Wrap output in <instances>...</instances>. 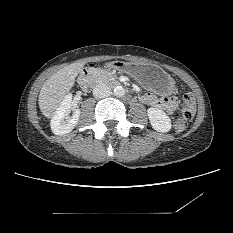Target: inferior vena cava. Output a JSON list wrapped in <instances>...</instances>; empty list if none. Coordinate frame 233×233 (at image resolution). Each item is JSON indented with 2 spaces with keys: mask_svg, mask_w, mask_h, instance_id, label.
Listing matches in <instances>:
<instances>
[{
  "mask_svg": "<svg viewBox=\"0 0 233 233\" xmlns=\"http://www.w3.org/2000/svg\"><path fill=\"white\" fill-rule=\"evenodd\" d=\"M112 94L111 89L105 85V84H98L97 86H95V88L93 89V95L96 98H104V97H108Z\"/></svg>",
  "mask_w": 233,
  "mask_h": 233,
  "instance_id": "602c4592",
  "label": "inferior vena cava"
}]
</instances>
